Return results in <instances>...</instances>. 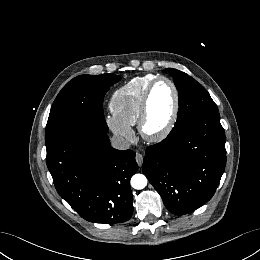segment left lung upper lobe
<instances>
[{
	"mask_svg": "<svg viewBox=\"0 0 260 260\" xmlns=\"http://www.w3.org/2000/svg\"><path fill=\"white\" fill-rule=\"evenodd\" d=\"M179 92L177 121L171 132L176 131L190 120L209 114H219L218 108L207 90L184 72L168 68Z\"/></svg>",
	"mask_w": 260,
	"mask_h": 260,
	"instance_id": "left-lung-upper-lobe-1",
	"label": "left lung upper lobe"
}]
</instances>
